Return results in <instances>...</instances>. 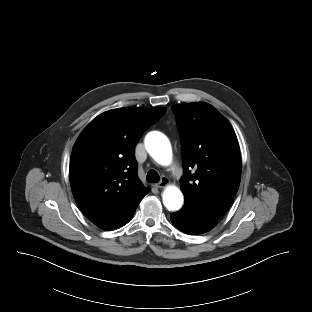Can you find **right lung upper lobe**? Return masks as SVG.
<instances>
[{"label":"right lung upper lobe","instance_id":"cb5924a9","mask_svg":"<svg viewBox=\"0 0 312 312\" xmlns=\"http://www.w3.org/2000/svg\"><path fill=\"white\" fill-rule=\"evenodd\" d=\"M165 108H117L91 121L76 140L70 184L78 207L96 226H124L149 191L137 176L134 148Z\"/></svg>","mask_w":312,"mask_h":312}]
</instances>
